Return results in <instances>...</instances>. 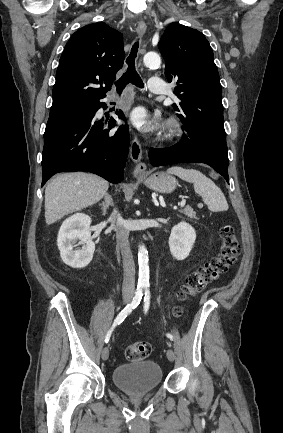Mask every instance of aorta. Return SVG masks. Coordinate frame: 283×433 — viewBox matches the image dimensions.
Here are the masks:
<instances>
[{
	"label": "aorta",
	"mask_w": 283,
	"mask_h": 433,
	"mask_svg": "<svg viewBox=\"0 0 283 433\" xmlns=\"http://www.w3.org/2000/svg\"><path fill=\"white\" fill-rule=\"evenodd\" d=\"M144 64L149 68H157L161 64L160 56L155 52H148L143 58ZM149 258L148 251L144 245L139 246L138 250V263H139V276L138 286L147 288L149 286Z\"/></svg>",
	"instance_id": "obj_1"
}]
</instances>
